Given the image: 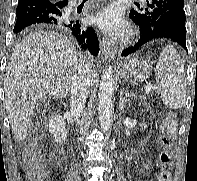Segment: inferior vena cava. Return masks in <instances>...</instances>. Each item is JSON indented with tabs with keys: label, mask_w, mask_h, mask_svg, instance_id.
<instances>
[{
	"label": "inferior vena cava",
	"mask_w": 197,
	"mask_h": 181,
	"mask_svg": "<svg viewBox=\"0 0 197 181\" xmlns=\"http://www.w3.org/2000/svg\"><path fill=\"white\" fill-rule=\"evenodd\" d=\"M91 75L92 66L82 60L77 73L73 77L70 88L71 114L75 117L80 116L85 107L90 89Z\"/></svg>",
	"instance_id": "1"
}]
</instances>
